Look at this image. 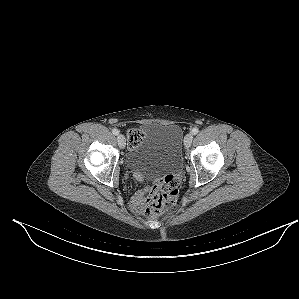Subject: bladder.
<instances>
[{
	"instance_id": "31cf9c89",
	"label": "bladder",
	"mask_w": 299,
	"mask_h": 299,
	"mask_svg": "<svg viewBox=\"0 0 299 299\" xmlns=\"http://www.w3.org/2000/svg\"><path fill=\"white\" fill-rule=\"evenodd\" d=\"M140 143L126 157L127 165L148 178L176 172L182 166L183 133L176 124L148 123Z\"/></svg>"
}]
</instances>
